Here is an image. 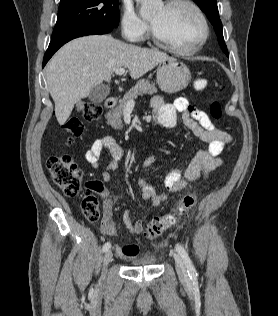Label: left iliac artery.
<instances>
[{
  "mask_svg": "<svg viewBox=\"0 0 278 316\" xmlns=\"http://www.w3.org/2000/svg\"><path fill=\"white\" fill-rule=\"evenodd\" d=\"M176 250L178 254L182 257L184 264L186 265L188 274L191 278H195L197 276L196 269L184 247L180 244L176 245Z\"/></svg>",
  "mask_w": 278,
  "mask_h": 316,
  "instance_id": "1",
  "label": "left iliac artery"
}]
</instances>
